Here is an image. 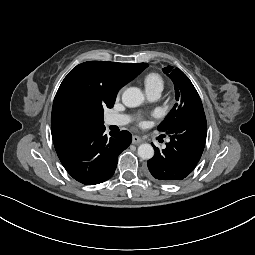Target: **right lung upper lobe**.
<instances>
[{
    "instance_id": "cb5924a9",
    "label": "right lung upper lobe",
    "mask_w": 255,
    "mask_h": 255,
    "mask_svg": "<svg viewBox=\"0 0 255 255\" xmlns=\"http://www.w3.org/2000/svg\"><path fill=\"white\" fill-rule=\"evenodd\" d=\"M147 66V63L88 61L73 68L62 81L53 102L52 138L104 126V121L97 116L78 119L69 114L63 106V99L67 93L79 91L99 100L104 106H113L119 89Z\"/></svg>"
}]
</instances>
